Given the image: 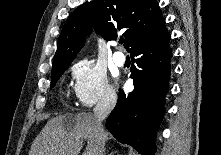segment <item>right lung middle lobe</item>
Segmentation results:
<instances>
[{
  "mask_svg": "<svg viewBox=\"0 0 221 155\" xmlns=\"http://www.w3.org/2000/svg\"><path fill=\"white\" fill-rule=\"evenodd\" d=\"M70 64L60 66L56 69H53L51 72V88L55 86L58 79L61 77V75L64 73V71L68 68Z\"/></svg>",
  "mask_w": 221,
  "mask_h": 155,
  "instance_id": "1",
  "label": "right lung middle lobe"
}]
</instances>
